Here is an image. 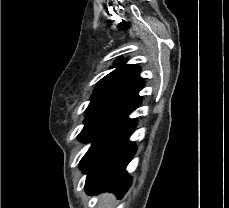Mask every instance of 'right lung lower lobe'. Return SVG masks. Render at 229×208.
I'll use <instances>...</instances> for the list:
<instances>
[{
    "instance_id": "98d812e1",
    "label": "right lung lower lobe",
    "mask_w": 229,
    "mask_h": 208,
    "mask_svg": "<svg viewBox=\"0 0 229 208\" xmlns=\"http://www.w3.org/2000/svg\"><path fill=\"white\" fill-rule=\"evenodd\" d=\"M134 129L135 121L84 160L87 193L109 191L122 197L127 192L132 180L125 169L136 152L128 138Z\"/></svg>"
}]
</instances>
